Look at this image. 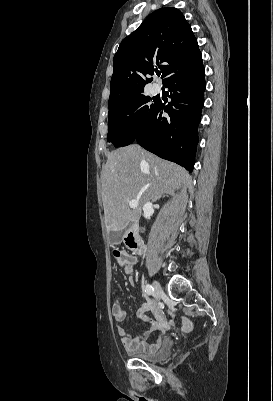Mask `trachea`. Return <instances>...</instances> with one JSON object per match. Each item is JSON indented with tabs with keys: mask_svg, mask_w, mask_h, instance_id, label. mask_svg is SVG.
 <instances>
[{
	"mask_svg": "<svg viewBox=\"0 0 273 401\" xmlns=\"http://www.w3.org/2000/svg\"><path fill=\"white\" fill-rule=\"evenodd\" d=\"M160 74H161L160 72H157L158 77L160 76Z\"/></svg>",
	"mask_w": 273,
	"mask_h": 401,
	"instance_id": "trachea-1",
	"label": "trachea"
}]
</instances>
